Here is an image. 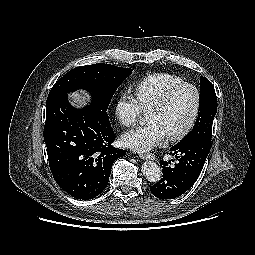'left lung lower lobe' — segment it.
Masks as SVG:
<instances>
[{
    "label": "left lung lower lobe",
    "instance_id": "obj_1",
    "mask_svg": "<svg viewBox=\"0 0 255 255\" xmlns=\"http://www.w3.org/2000/svg\"><path fill=\"white\" fill-rule=\"evenodd\" d=\"M211 148V141L198 140L173 146L170 153L178 159L175 167L161 161L163 177L150 187L151 193L160 199H174L189 190L198 179Z\"/></svg>",
    "mask_w": 255,
    "mask_h": 255
}]
</instances>
